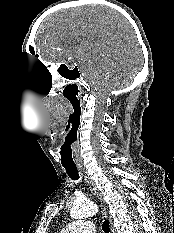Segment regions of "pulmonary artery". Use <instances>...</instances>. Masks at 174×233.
Wrapping results in <instances>:
<instances>
[{
	"instance_id": "obj_1",
	"label": "pulmonary artery",
	"mask_w": 174,
	"mask_h": 233,
	"mask_svg": "<svg viewBox=\"0 0 174 233\" xmlns=\"http://www.w3.org/2000/svg\"><path fill=\"white\" fill-rule=\"evenodd\" d=\"M61 233H95V225L90 220H78L68 224Z\"/></svg>"
}]
</instances>
